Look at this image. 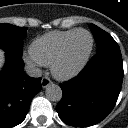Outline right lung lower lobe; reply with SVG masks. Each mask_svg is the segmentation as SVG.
I'll return each mask as SVG.
<instances>
[{"label": "right lung lower lobe", "mask_w": 128, "mask_h": 128, "mask_svg": "<svg viewBox=\"0 0 128 128\" xmlns=\"http://www.w3.org/2000/svg\"><path fill=\"white\" fill-rule=\"evenodd\" d=\"M23 66L21 58L6 52V64L0 74V128L20 124L42 88L41 79L26 75Z\"/></svg>", "instance_id": "obj_1"}]
</instances>
